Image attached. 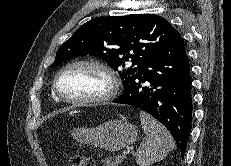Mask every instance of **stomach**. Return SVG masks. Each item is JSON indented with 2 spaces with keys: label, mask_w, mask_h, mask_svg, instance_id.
<instances>
[{
  "label": "stomach",
  "mask_w": 231,
  "mask_h": 166,
  "mask_svg": "<svg viewBox=\"0 0 231 166\" xmlns=\"http://www.w3.org/2000/svg\"><path fill=\"white\" fill-rule=\"evenodd\" d=\"M137 135V127L124 117L120 120H109L93 128L80 127L72 132L76 141L111 152L133 144Z\"/></svg>",
  "instance_id": "stomach-1"
}]
</instances>
